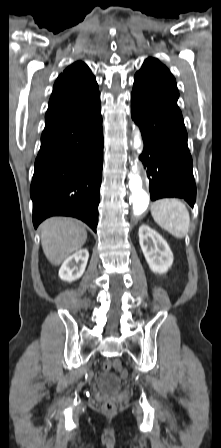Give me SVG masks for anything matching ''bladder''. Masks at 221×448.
<instances>
[{
  "mask_svg": "<svg viewBox=\"0 0 221 448\" xmlns=\"http://www.w3.org/2000/svg\"><path fill=\"white\" fill-rule=\"evenodd\" d=\"M119 388V378L113 374L104 375L98 384V391L108 397H114Z\"/></svg>",
  "mask_w": 221,
  "mask_h": 448,
  "instance_id": "1",
  "label": "bladder"
}]
</instances>
